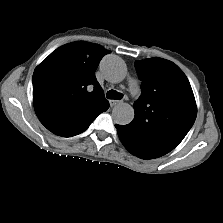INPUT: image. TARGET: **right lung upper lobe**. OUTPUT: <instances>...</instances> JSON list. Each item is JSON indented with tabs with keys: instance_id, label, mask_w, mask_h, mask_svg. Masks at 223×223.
<instances>
[{
	"instance_id": "cb5924a9",
	"label": "right lung upper lobe",
	"mask_w": 223,
	"mask_h": 223,
	"mask_svg": "<svg viewBox=\"0 0 223 223\" xmlns=\"http://www.w3.org/2000/svg\"><path fill=\"white\" fill-rule=\"evenodd\" d=\"M107 53L99 45L73 42L53 51L36 67L34 108L52 133L64 137L80 134L109 108L94 74Z\"/></svg>"
}]
</instances>
